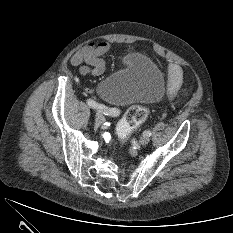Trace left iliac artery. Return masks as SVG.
Instances as JSON below:
<instances>
[{
	"mask_svg": "<svg viewBox=\"0 0 233 233\" xmlns=\"http://www.w3.org/2000/svg\"><path fill=\"white\" fill-rule=\"evenodd\" d=\"M151 131L150 130H146L145 132H144V135H147V136H151Z\"/></svg>",
	"mask_w": 233,
	"mask_h": 233,
	"instance_id": "1",
	"label": "left iliac artery"
}]
</instances>
